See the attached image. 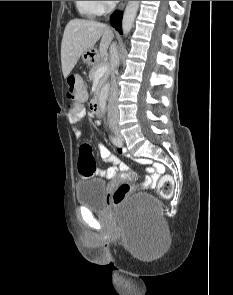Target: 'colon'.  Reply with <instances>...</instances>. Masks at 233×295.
<instances>
[{"label":"colon","mask_w":233,"mask_h":295,"mask_svg":"<svg viewBox=\"0 0 233 295\" xmlns=\"http://www.w3.org/2000/svg\"><path fill=\"white\" fill-rule=\"evenodd\" d=\"M66 97L72 103H79L84 101L87 96L86 87L83 80L76 75H71L67 79ZM73 108L72 104L69 105ZM78 171L83 177H90L96 171V164L92 155V148L89 144L85 143L80 147V155L78 162ZM174 189L173 180L170 176L161 178L158 186L159 195L164 198H170ZM130 191V186L127 183L121 184L112 195V202L114 204L120 203Z\"/></svg>","instance_id":"colon-1"}]
</instances>
